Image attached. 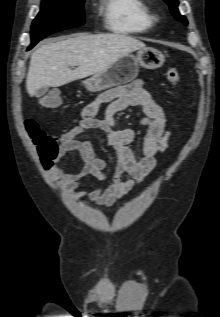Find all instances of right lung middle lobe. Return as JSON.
<instances>
[{
	"instance_id": "1",
	"label": "right lung middle lobe",
	"mask_w": 220,
	"mask_h": 317,
	"mask_svg": "<svg viewBox=\"0 0 220 317\" xmlns=\"http://www.w3.org/2000/svg\"><path fill=\"white\" fill-rule=\"evenodd\" d=\"M84 0H42L31 26L32 45L55 32L84 24Z\"/></svg>"
}]
</instances>
